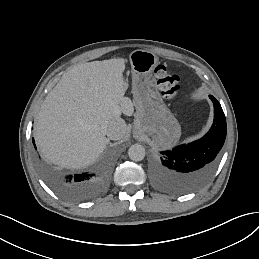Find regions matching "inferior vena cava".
<instances>
[{"label": "inferior vena cava", "instance_id": "1", "mask_svg": "<svg viewBox=\"0 0 259 259\" xmlns=\"http://www.w3.org/2000/svg\"><path fill=\"white\" fill-rule=\"evenodd\" d=\"M100 131L105 133L111 140H120L126 135L127 128L125 122L118 118L102 124Z\"/></svg>", "mask_w": 259, "mask_h": 259}]
</instances>
